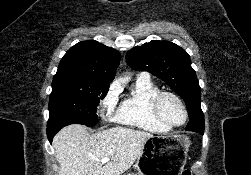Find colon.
Returning a JSON list of instances; mask_svg holds the SVG:
<instances>
[{"label":"colon","mask_w":251,"mask_h":175,"mask_svg":"<svg viewBox=\"0 0 251 175\" xmlns=\"http://www.w3.org/2000/svg\"><path fill=\"white\" fill-rule=\"evenodd\" d=\"M182 175H192L190 170L186 169L183 171Z\"/></svg>","instance_id":"5ec220e1"}]
</instances>
